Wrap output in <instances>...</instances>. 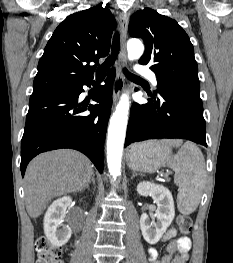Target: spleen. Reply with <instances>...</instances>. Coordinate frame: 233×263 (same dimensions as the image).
Masks as SVG:
<instances>
[{"label": "spleen", "mask_w": 233, "mask_h": 263, "mask_svg": "<svg viewBox=\"0 0 233 263\" xmlns=\"http://www.w3.org/2000/svg\"><path fill=\"white\" fill-rule=\"evenodd\" d=\"M179 148L168 166L175 172L174 182L179 187L177 207L179 212L188 215L199 205L206 178L205 159L199 147L193 142L179 139L161 141Z\"/></svg>", "instance_id": "3e777b00"}]
</instances>
